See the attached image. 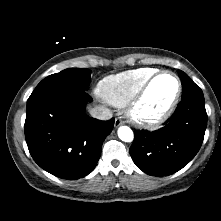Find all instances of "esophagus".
Instances as JSON below:
<instances>
[{"label": "esophagus", "mask_w": 221, "mask_h": 221, "mask_svg": "<svg viewBox=\"0 0 221 221\" xmlns=\"http://www.w3.org/2000/svg\"><path fill=\"white\" fill-rule=\"evenodd\" d=\"M124 123H125V121L121 117H117L114 122V127L117 128V127L123 125Z\"/></svg>", "instance_id": "esophagus-1"}]
</instances>
